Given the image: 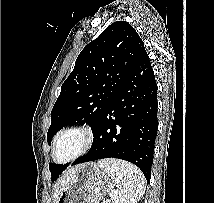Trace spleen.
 Masks as SVG:
<instances>
[{
  "instance_id": "obj_1",
  "label": "spleen",
  "mask_w": 214,
  "mask_h": 203,
  "mask_svg": "<svg viewBox=\"0 0 214 203\" xmlns=\"http://www.w3.org/2000/svg\"><path fill=\"white\" fill-rule=\"evenodd\" d=\"M98 166L106 171L113 180L115 203H137L145 192V177L133 164L117 160L103 159Z\"/></svg>"
}]
</instances>
